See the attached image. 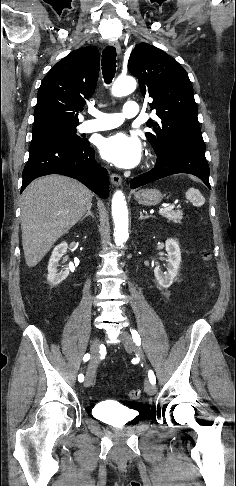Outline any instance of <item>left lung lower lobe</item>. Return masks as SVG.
Instances as JSON below:
<instances>
[{"instance_id": "left-lung-lower-lobe-1", "label": "left lung lower lobe", "mask_w": 236, "mask_h": 486, "mask_svg": "<svg viewBox=\"0 0 236 486\" xmlns=\"http://www.w3.org/2000/svg\"><path fill=\"white\" fill-rule=\"evenodd\" d=\"M156 155L155 167L151 171L133 178L130 184L132 189L176 173L195 175L211 189L205 149L178 144Z\"/></svg>"}]
</instances>
